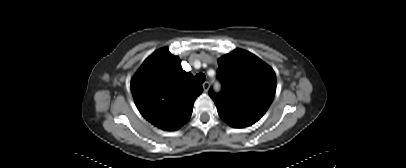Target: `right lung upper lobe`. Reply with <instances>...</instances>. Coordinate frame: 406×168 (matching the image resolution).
<instances>
[{
  "label": "right lung upper lobe",
  "mask_w": 406,
  "mask_h": 168,
  "mask_svg": "<svg viewBox=\"0 0 406 168\" xmlns=\"http://www.w3.org/2000/svg\"><path fill=\"white\" fill-rule=\"evenodd\" d=\"M131 91L144 118L163 130H176L189 120L203 88L182 69L178 56L162 48L143 62L131 80Z\"/></svg>",
  "instance_id": "obj_1"
}]
</instances>
